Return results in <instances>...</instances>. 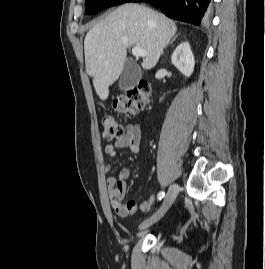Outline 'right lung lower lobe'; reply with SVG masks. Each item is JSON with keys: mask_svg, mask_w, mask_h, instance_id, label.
I'll list each match as a JSON object with an SVG mask.
<instances>
[{"mask_svg": "<svg viewBox=\"0 0 265 269\" xmlns=\"http://www.w3.org/2000/svg\"><path fill=\"white\" fill-rule=\"evenodd\" d=\"M128 2H147L161 8L170 18L198 25L210 0H129Z\"/></svg>", "mask_w": 265, "mask_h": 269, "instance_id": "obj_1", "label": "right lung lower lobe"}]
</instances>
